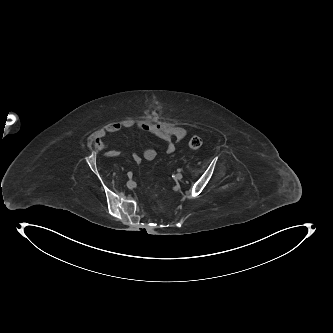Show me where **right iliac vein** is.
I'll list each match as a JSON object with an SVG mask.
<instances>
[{"mask_svg":"<svg viewBox=\"0 0 333 333\" xmlns=\"http://www.w3.org/2000/svg\"><path fill=\"white\" fill-rule=\"evenodd\" d=\"M134 186H135V182H134V181L129 180V181L127 182V187H128L129 189L134 188Z\"/></svg>","mask_w":333,"mask_h":333,"instance_id":"1","label":"right iliac vein"}]
</instances>
